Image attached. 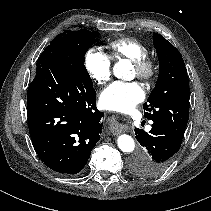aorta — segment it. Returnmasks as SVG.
Returning <instances> with one entry per match:
<instances>
[{
  "instance_id": "762f6f07",
  "label": "aorta",
  "mask_w": 211,
  "mask_h": 211,
  "mask_svg": "<svg viewBox=\"0 0 211 211\" xmlns=\"http://www.w3.org/2000/svg\"><path fill=\"white\" fill-rule=\"evenodd\" d=\"M126 71V64L124 61H119L114 65L113 73L117 78H123ZM118 147L125 153L133 152L135 148V142L133 138L127 134H122L117 139Z\"/></svg>"
}]
</instances>
